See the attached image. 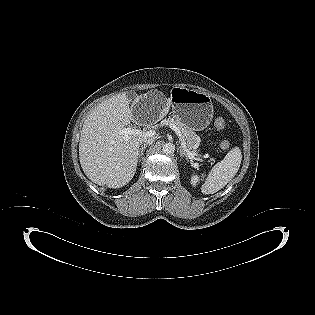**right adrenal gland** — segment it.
<instances>
[{"instance_id":"right-adrenal-gland-1","label":"right adrenal gland","mask_w":315,"mask_h":315,"mask_svg":"<svg viewBox=\"0 0 315 315\" xmlns=\"http://www.w3.org/2000/svg\"><path fill=\"white\" fill-rule=\"evenodd\" d=\"M146 145L142 146L140 149H139V158H142L143 157V154H144V150L146 149Z\"/></svg>"}]
</instances>
